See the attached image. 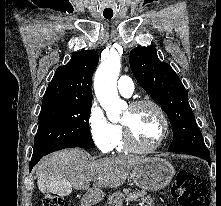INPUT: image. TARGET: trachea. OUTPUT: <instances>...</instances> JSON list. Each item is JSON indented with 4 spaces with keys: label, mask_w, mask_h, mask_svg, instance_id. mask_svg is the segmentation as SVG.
<instances>
[{
    "label": "trachea",
    "mask_w": 221,
    "mask_h": 206,
    "mask_svg": "<svg viewBox=\"0 0 221 206\" xmlns=\"http://www.w3.org/2000/svg\"><path fill=\"white\" fill-rule=\"evenodd\" d=\"M106 19H111V17H105Z\"/></svg>",
    "instance_id": "3493384b"
}]
</instances>
